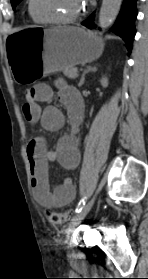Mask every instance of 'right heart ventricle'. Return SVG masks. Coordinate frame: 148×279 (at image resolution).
<instances>
[{
	"label": "right heart ventricle",
	"instance_id": "1",
	"mask_svg": "<svg viewBox=\"0 0 148 279\" xmlns=\"http://www.w3.org/2000/svg\"><path fill=\"white\" fill-rule=\"evenodd\" d=\"M29 12H30V10H29ZM30 14H31V13H30ZM31 16H32V15H31ZM32 19H33V21H34L35 23H43V22H41V21L35 19L33 16H32Z\"/></svg>",
	"mask_w": 148,
	"mask_h": 279
}]
</instances>
